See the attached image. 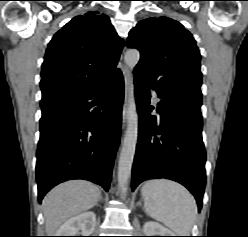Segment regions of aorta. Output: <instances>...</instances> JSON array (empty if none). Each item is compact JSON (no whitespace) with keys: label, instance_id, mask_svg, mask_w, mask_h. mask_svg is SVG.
I'll return each instance as SVG.
<instances>
[{"label":"aorta","instance_id":"aorta-1","mask_svg":"<svg viewBox=\"0 0 248 237\" xmlns=\"http://www.w3.org/2000/svg\"><path fill=\"white\" fill-rule=\"evenodd\" d=\"M140 54L137 50L132 49L126 52L124 56L127 67L132 72L138 64ZM138 139V116L134 96V87L130 88L128 103V122L127 129L122 143L120 157L118 161V185L122 197L127 193L128 181L131 175L132 164L135 156L136 144Z\"/></svg>","mask_w":248,"mask_h":237}]
</instances>
